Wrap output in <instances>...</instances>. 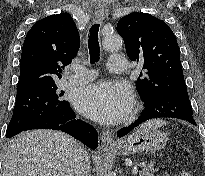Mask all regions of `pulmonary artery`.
I'll use <instances>...</instances> for the list:
<instances>
[{
	"mask_svg": "<svg viewBox=\"0 0 205 176\" xmlns=\"http://www.w3.org/2000/svg\"><path fill=\"white\" fill-rule=\"evenodd\" d=\"M109 70L115 74H123L127 68V61L122 55H111L108 58ZM75 74L70 77V85H81L92 81L95 78V71L78 66L73 68Z\"/></svg>",
	"mask_w": 205,
	"mask_h": 176,
	"instance_id": "e3ab8cb5",
	"label": "pulmonary artery"
}]
</instances>
